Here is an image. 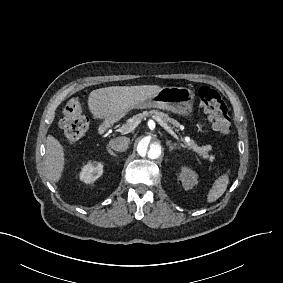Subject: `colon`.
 Listing matches in <instances>:
<instances>
[{"label":"colon","mask_w":283,"mask_h":283,"mask_svg":"<svg viewBox=\"0 0 283 283\" xmlns=\"http://www.w3.org/2000/svg\"><path fill=\"white\" fill-rule=\"evenodd\" d=\"M198 96L199 107L208 115L214 131L220 135L229 134V109L220 94L209 86H201ZM60 125L68 143H75L84 136L89 128V121L79 102L71 101L65 106Z\"/></svg>","instance_id":"colon-1"}]
</instances>
